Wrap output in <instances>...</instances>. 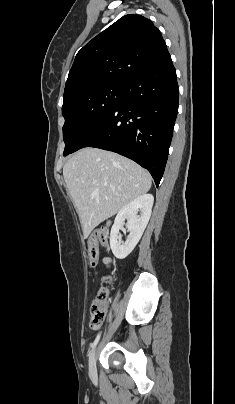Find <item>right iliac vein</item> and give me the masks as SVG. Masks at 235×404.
Returning <instances> with one entry per match:
<instances>
[{"instance_id": "63e3f726", "label": "right iliac vein", "mask_w": 235, "mask_h": 404, "mask_svg": "<svg viewBox=\"0 0 235 404\" xmlns=\"http://www.w3.org/2000/svg\"><path fill=\"white\" fill-rule=\"evenodd\" d=\"M95 350L91 352V356L89 359V372L92 377L96 375V359H95Z\"/></svg>"}]
</instances>
